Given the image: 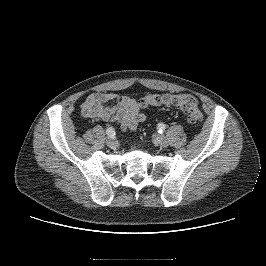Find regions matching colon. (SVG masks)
I'll return each mask as SVG.
<instances>
[{
  "label": "colon",
  "mask_w": 266,
  "mask_h": 266,
  "mask_svg": "<svg viewBox=\"0 0 266 266\" xmlns=\"http://www.w3.org/2000/svg\"><path fill=\"white\" fill-rule=\"evenodd\" d=\"M142 108L156 107L161 105H172L178 107L187 116V121L198 124L202 120V113L197 99L189 94H157L149 93L139 100Z\"/></svg>",
  "instance_id": "obj_1"
}]
</instances>
